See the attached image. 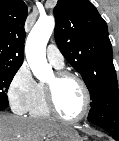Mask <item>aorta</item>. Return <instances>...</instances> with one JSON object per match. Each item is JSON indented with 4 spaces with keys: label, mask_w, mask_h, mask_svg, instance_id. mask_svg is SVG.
I'll return each mask as SVG.
<instances>
[{
    "label": "aorta",
    "mask_w": 119,
    "mask_h": 141,
    "mask_svg": "<svg viewBox=\"0 0 119 141\" xmlns=\"http://www.w3.org/2000/svg\"><path fill=\"white\" fill-rule=\"evenodd\" d=\"M54 27L55 20L52 16L39 18L26 41V58L34 76L39 80L47 79L52 71L45 52Z\"/></svg>",
    "instance_id": "762f6f07"
}]
</instances>
